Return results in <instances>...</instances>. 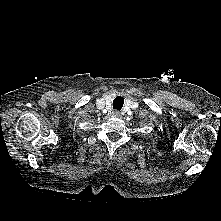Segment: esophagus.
<instances>
[{
	"label": "esophagus",
	"instance_id": "esophagus-1",
	"mask_svg": "<svg viewBox=\"0 0 221 221\" xmlns=\"http://www.w3.org/2000/svg\"><path fill=\"white\" fill-rule=\"evenodd\" d=\"M114 116H115V117H119V116H120V112H119V111H115V112H114Z\"/></svg>",
	"mask_w": 221,
	"mask_h": 221
}]
</instances>
